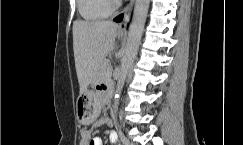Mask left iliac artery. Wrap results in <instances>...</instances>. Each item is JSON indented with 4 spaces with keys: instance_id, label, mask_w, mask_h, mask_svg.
Here are the masks:
<instances>
[{
    "instance_id": "obj_1",
    "label": "left iliac artery",
    "mask_w": 243,
    "mask_h": 145,
    "mask_svg": "<svg viewBox=\"0 0 243 145\" xmlns=\"http://www.w3.org/2000/svg\"><path fill=\"white\" fill-rule=\"evenodd\" d=\"M119 135H120V138H121V141L123 142V144H126L127 143V138L124 136L121 128H119Z\"/></svg>"
}]
</instances>
